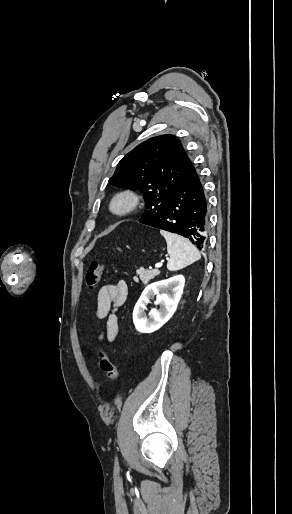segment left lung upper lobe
Segmentation results:
<instances>
[{
	"instance_id": "left-lung-upper-lobe-1",
	"label": "left lung upper lobe",
	"mask_w": 292,
	"mask_h": 514,
	"mask_svg": "<svg viewBox=\"0 0 292 514\" xmlns=\"http://www.w3.org/2000/svg\"><path fill=\"white\" fill-rule=\"evenodd\" d=\"M192 162L174 135H160L142 142L117 165L109 183L139 190L147 210L139 222L146 223L161 213V208L187 176Z\"/></svg>"
}]
</instances>
